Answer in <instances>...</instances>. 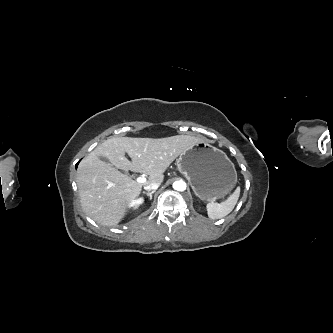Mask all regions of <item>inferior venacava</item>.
I'll return each instance as SVG.
<instances>
[{"instance_id":"602c4592","label":"inferior vena cava","mask_w":333,"mask_h":333,"mask_svg":"<svg viewBox=\"0 0 333 333\" xmlns=\"http://www.w3.org/2000/svg\"><path fill=\"white\" fill-rule=\"evenodd\" d=\"M159 186H160V183L153 182V183H150L149 185L144 186V189L147 191H151V190L158 189Z\"/></svg>"}]
</instances>
